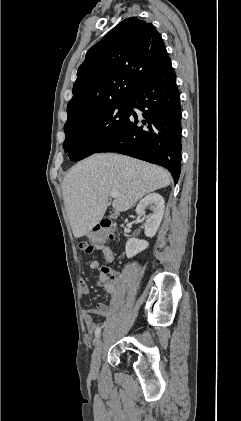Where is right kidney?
<instances>
[{
  "instance_id": "right-kidney-1",
  "label": "right kidney",
  "mask_w": 241,
  "mask_h": 421,
  "mask_svg": "<svg viewBox=\"0 0 241 421\" xmlns=\"http://www.w3.org/2000/svg\"><path fill=\"white\" fill-rule=\"evenodd\" d=\"M165 202L163 197L157 193H151L145 196L136 207V213L143 216L146 219L145 222V235L147 237H154L164 214ZM146 208H150L152 214L149 216L145 215ZM148 242L145 240H139L131 238L127 241L125 247V253L127 258H132L136 254L145 250L148 247Z\"/></svg>"
}]
</instances>
